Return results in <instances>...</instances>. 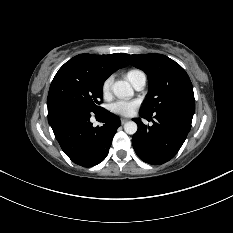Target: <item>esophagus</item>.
<instances>
[{"label":"esophagus","instance_id":"esophagus-1","mask_svg":"<svg viewBox=\"0 0 233 233\" xmlns=\"http://www.w3.org/2000/svg\"><path fill=\"white\" fill-rule=\"evenodd\" d=\"M120 121H121V124H125V123L128 121V119H126V118H121Z\"/></svg>","mask_w":233,"mask_h":233}]
</instances>
